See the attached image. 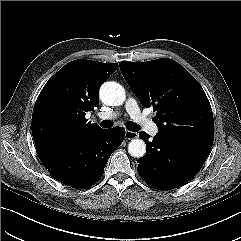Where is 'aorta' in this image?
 I'll return each instance as SVG.
<instances>
[{
    "mask_svg": "<svg viewBox=\"0 0 241 241\" xmlns=\"http://www.w3.org/2000/svg\"><path fill=\"white\" fill-rule=\"evenodd\" d=\"M100 99L109 106H120L126 98L124 88L113 81L105 82L100 88ZM128 152L131 156L140 158L146 153L145 142L141 139H133L128 144Z\"/></svg>",
    "mask_w": 241,
    "mask_h": 241,
    "instance_id": "aorta-1",
    "label": "aorta"
}]
</instances>
